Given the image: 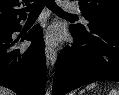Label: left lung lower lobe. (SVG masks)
<instances>
[{
	"instance_id": "1",
	"label": "left lung lower lobe",
	"mask_w": 119,
	"mask_h": 95,
	"mask_svg": "<svg viewBox=\"0 0 119 95\" xmlns=\"http://www.w3.org/2000/svg\"><path fill=\"white\" fill-rule=\"evenodd\" d=\"M74 38L58 56L53 94L63 95L85 84L112 80L119 82V29L70 26Z\"/></svg>"
}]
</instances>
